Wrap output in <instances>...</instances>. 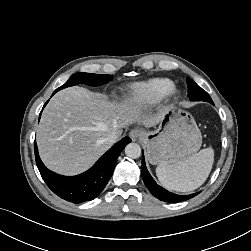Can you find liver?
Instances as JSON below:
<instances>
[{
	"instance_id": "obj_1",
	"label": "liver",
	"mask_w": 251,
	"mask_h": 251,
	"mask_svg": "<svg viewBox=\"0 0 251 251\" xmlns=\"http://www.w3.org/2000/svg\"><path fill=\"white\" fill-rule=\"evenodd\" d=\"M135 99L110 102L83 87L56 93L45 107L37 129V145L44 164L51 170L74 175L84 172L112 145L113 131L138 122L150 128L160 123L165 111L143 113Z\"/></svg>"
}]
</instances>
